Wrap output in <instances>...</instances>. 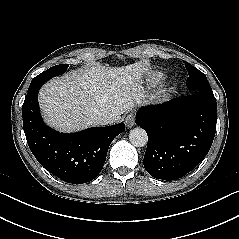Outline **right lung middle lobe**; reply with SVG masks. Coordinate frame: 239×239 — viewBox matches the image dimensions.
<instances>
[{"instance_id":"right-lung-middle-lobe-1","label":"right lung middle lobe","mask_w":239,"mask_h":239,"mask_svg":"<svg viewBox=\"0 0 239 239\" xmlns=\"http://www.w3.org/2000/svg\"><path fill=\"white\" fill-rule=\"evenodd\" d=\"M69 65L67 64H61V65H56L54 67L49 68L48 70L42 72L38 76H36L33 80L34 81H39V80H44L47 81L51 77L58 76L60 74H63L66 72L67 68ZM32 80V81H33Z\"/></svg>"}]
</instances>
